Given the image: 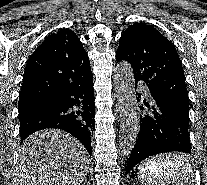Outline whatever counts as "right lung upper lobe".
<instances>
[{
  "label": "right lung upper lobe",
  "mask_w": 207,
  "mask_h": 185,
  "mask_svg": "<svg viewBox=\"0 0 207 185\" xmlns=\"http://www.w3.org/2000/svg\"><path fill=\"white\" fill-rule=\"evenodd\" d=\"M91 75L89 58L80 39L71 30L60 29L48 36L29 57L18 109L54 98L71 83Z\"/></svg>",
  "instance_id": "obj_1"
}]
</instances>
